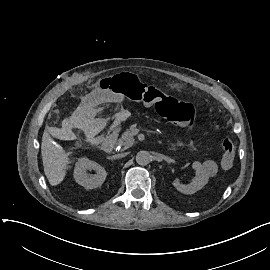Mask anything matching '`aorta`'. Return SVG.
<instances>
[{
	"instance_id": "762f6f07",
	"label": "aorta",
	"mask_w": 270,
	"mask_h": 270,
	"mask_svg": "<svg viewBox=\"0 0 270 270\" xmlns=\"http://www.w3.org/2000/svg\"><path fill=\"white\" fill-rule=\"evenodd\" d=\"M151 161V156L148 151H139L136 155V162L139 165H147Z\"/></svg>"
}]
</instances>
